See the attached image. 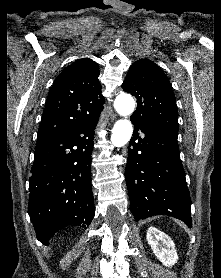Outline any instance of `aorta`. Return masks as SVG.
<instances>
[{"label":"aorta","instance_id":"obj_1","mask_svg":"<svg viewBox=\"0 0 221 278\" xmlns=\"http://www.w3.org/2000/svg\"><path fill=\"white\" fill-rule=\"evenodd\" d=\"M114 107L117 113L127 117L135 109L134 99L129 94H120L116 97ZM133 132L132 123L127 119L118 120L112 129L111 142L116 147H122L129 142Z\"/></svg>","mask_w":221,"mask_h":278}]
</instances>
